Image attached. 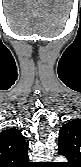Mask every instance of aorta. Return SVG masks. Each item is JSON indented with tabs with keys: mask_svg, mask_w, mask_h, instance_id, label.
Segmentation results:
<instances>
[{
	"mask_svg": "<svg viewBox=\"0 0 81 167\" xmlns=\"http://www.w3.org/2000/svg\"><path fill=\"white\" fill-rule=\"evenodd\" d=\"M56 160L64 161L65 159L63 157H58Z\"/></svg>",
	"mask_w": 81,
	"mask_h": 167,
	"instance_id": "aorta-1",
	"label": "aorta"
}]
</instances>
